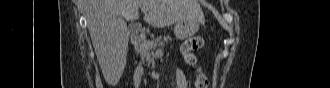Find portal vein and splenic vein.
<instances>
[{
    "mask_svg": "<svg viewBox=\"0 0 330 88\" xmlns=\"http://www.w3.org/2000/svg\"><path fill=\"white\" fill-rule=\"evenodd\" d=\"M142 11H143V12H146V11H147V9H143Z\"/></svg>",
    "mask_w": 330,
    "mask_h": 88,
    "instance_id": "18ae733b",
    "label": "portal vein and splenic vein"
}]
</instances>
